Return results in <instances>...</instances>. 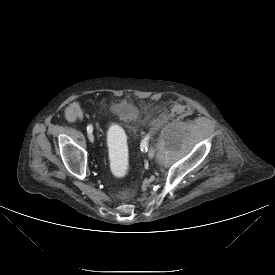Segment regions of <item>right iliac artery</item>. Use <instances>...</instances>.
Instances as JSON below:
<instances>
[{
	"instance_id": "82829eb1",
	"label": "right iliac artery",
	"mask_w": 275,
	"mask_h": 275,
	"mask_svg": "<svg viewBox=\"0 0 275 275\" xmlns=\"http://www.w3.org/2000/svg\"><path fill=\"white\" fill-rule=\"evenodd\" d=\"M92 131H93V127L91 125H88V127H87L88 134H91Z\"/></svg>"
}]
</instances>
